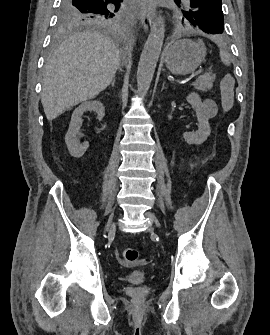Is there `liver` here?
I'll return each instance as SVG.
<instances>
[{"label": "liver", "mask_w": 270, "mask_h": 335, "mask_svg": "<svg viewBox=\"0 0 270 335\" xmlns=\"http://www.w3.org/2000/svg\"><path fill=\"white\" fill-rule=\"evenodd\" d=\"M121 52L113 40L95 32H79L62 42L45 66L41 102L47 120L103 92L115 76Z\"/></svg>", "instance_id": "liver-1"}]
</instances>
